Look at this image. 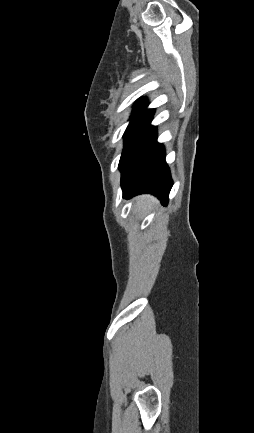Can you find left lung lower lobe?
Masks as SVG:
<instances>
[{
	"label": "left lung lower lobe",
	"instance_id": "1",
	"mask_svg": "<svg viewBox=\"0 0 254 433\" xmlns=\"http://www.w3.org/2000/svg\"><path fill=\"white\" fill-rule=\"evenodd\" d=\"M151 119L140 129L131 142L119 168L123 197L142 193L157 196L164 204L172 187L165 152L156 141V129Z\"/></svg>",
	"mask_w": 254,
	"mask_h": 433
}]
</instances>
